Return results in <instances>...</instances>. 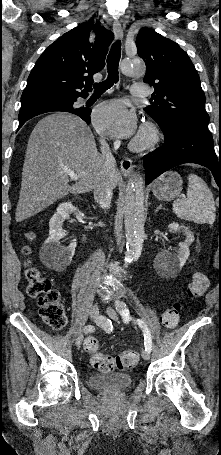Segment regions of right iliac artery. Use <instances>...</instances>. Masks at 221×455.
I'll return each instance as SVG.
<instances>
[{"label":"right iliac artery","mask_w":221,"mask_h":455,"mask_svg":"<svg viewBox=\"0 0 221 455\" xmlns=\"http://www.w3.org/2000/svg\"><path fill=\"white\" fill-rule=\"evenodd\" d=\"M109 320H99L98 324L100 325L101 329L106 333V334H114V329H112V326L108 322ZM94 326L92 325H87L84 328L85 333H90L94 331Z\"/></svg>","instance_id":"obj_1"}]
</instances>
